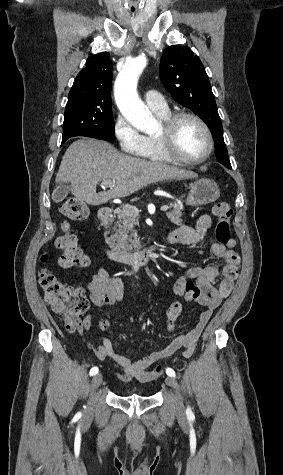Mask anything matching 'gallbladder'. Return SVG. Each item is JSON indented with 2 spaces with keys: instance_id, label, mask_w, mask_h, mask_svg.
<instances>
[{
  "instance_id": "gallbladder-1",
  "label": "gallbladder",
  "mask_w": 283,
  "mask_h": 475,
  "mask_svg": "<svg viewBox=\"0 0 283 475\" xmlns=\"http://www.w3.org/2000/svg\"><path fill=\"white\" fill-rule=\"evenodd\" d=\"M69 192L70 186H59V188H57V190H54L52 194L53 202H56V204H58V202H62V200H64V198L68 196Z\"/></svg>"
}]
</instances>
